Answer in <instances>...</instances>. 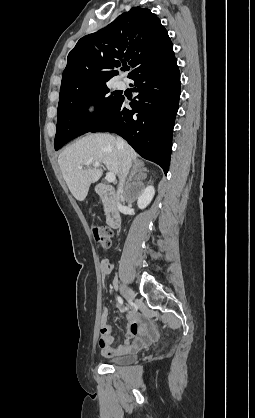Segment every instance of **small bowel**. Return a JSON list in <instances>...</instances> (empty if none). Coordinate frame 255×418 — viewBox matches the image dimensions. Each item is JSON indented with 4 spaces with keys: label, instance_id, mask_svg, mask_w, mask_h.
Returning <instances> with one entry per match:
<instances>
[{
    "label": "small bowel",
    "instance_id": "1",
    "mask_svg": "<svg viewBox=\"0 0 255 418\" xmlns=\"http://www.w3.org/2000/svg\"><path fill=\"white\" fill-rule=\"evenodd\" d=\"M99 269L101 276L103 278L106 277L113 269L112 262L109 259H102ZM118 308L122 313H127V340L121 345L114 346V337L111 334V327L107 321V311L104 310L101 317L98 345L101 348L102 355L105 357L118 356L139 350L157 335V330L145 324L143 317L138 312L127 311L120 303H118Z\"/></svg>",
    "mask_w": 255,
    "mask_h": 418
}]
</instances>
